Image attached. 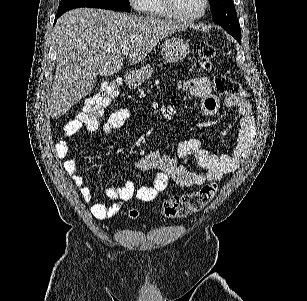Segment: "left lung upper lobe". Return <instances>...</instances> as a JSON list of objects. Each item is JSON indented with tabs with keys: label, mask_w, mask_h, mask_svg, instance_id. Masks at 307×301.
<instances>
[{
	"label": "left lung upper lobe",
	"mask_w": 307,
	"mask_h": 301,
	"mask_svg": "<svg viewBox=\"0 0 307 301\" xmlns=\"http://www.w3.org/2000/svg\"><path fill=\"white\" fill-rule=\"evenodd\" d=\"M214 23L222 26L239 43H241V29L237 19L235 6L231 0H209Z\"/></svg>",
	"instance_id": "left-lung-upper-lobe-1"
}]
</instances>
